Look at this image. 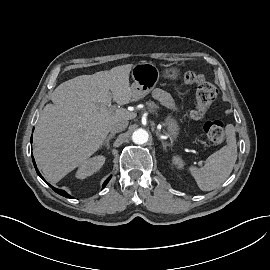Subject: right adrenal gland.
<instances>
[{"instance_id":"right-adrenal-gland-1","label":"right adrenal gland","mask_w":270,"mask_h":270,"mask_svg":"<svg viewBox=\"0 0 270 270\" xmlns=\"http://www.w3.org/2000/svg\"><path fill=\"white\" fill-rule=\"evenodd\" d=\"M115 136V133H110L108 135V137L106 138V140L104 141V143L101 145V147L105 146L106 149H109L110 147V144H109V141Z\"/></svg>"}]
</instances>
